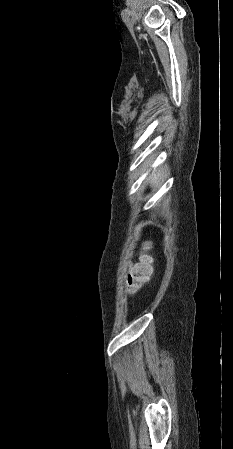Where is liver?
Instances as JSON below:
<instances>
[{
    "label": "liver",
    "instance_id": "liver-1",
    "mask_svg": "<svg viewBox=\"0 0 233 449\" xmlns=\"http://www.w3.org/2000/svg\"><path fill=\"white\" fill-rule=\"evenodd\" d=\"M164 177H165L164 169H158L152 172V175L148 177V180L158 186L160 180L163 179Z\"/></svg>",
    "mask_w": 233,
    "mask_h": 449
}]
</instances>
